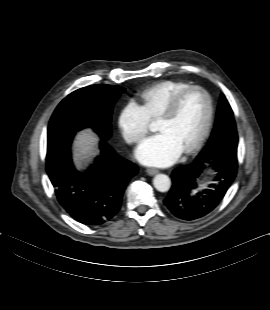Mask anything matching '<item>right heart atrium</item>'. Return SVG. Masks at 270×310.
Segmentation results:
<instances>
[{
  "label": "right heart atrium",
  "instance_id": "1",
  "mask_svg": "<svg viewBox=\"0 0 270 310\" xmlns=\"http://www.w3.org/2000/svg\"><path fill=\"white\" fill-rule=\"evenodd\" d=\"M119 127L128 143L141 141L150 130V118L142 105L134 100L125 104L119 115Z\"/></svg>",
  "mask_w": 270,
  "mask_h": 310
}]
</instances>
